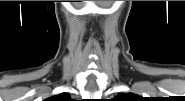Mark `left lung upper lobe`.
<instances>
[{"label":"left lung upper lobe","mask_w":185,"mask_h":101,"mask_svg":"<svg viewBox=\"0 0 185 101\" xmlns=\"http://www.w3.org/2000/svg\"><path fill=\"white\" fill-rule=\"evenodd\" d=\"M135 95L132 93H127V94H119L118 97L119 99H129L134 97Z\"/></svg>","instance_id":"1"}]
</instances>
